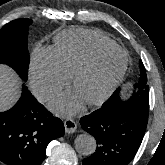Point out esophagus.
Wrapping results in <instances>:
<instances>
[{
    "label": "esophagus",
    "mask_w": 165,
    "mask_h": 165,
    "mask_svg": "<svg viewBox=\"0 0 165 165\" xmlns=\"http://www.w3.org/2000/svg\"><path fill=\"white\" fill-rule=\"evenodd\" d=\"M65 131L67 133H74L77 129V124L73 119H66L64 121Z\"/></svg>",
    "instance_id": "obj_1"
}]
</instances>
